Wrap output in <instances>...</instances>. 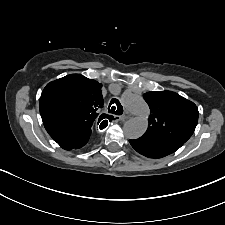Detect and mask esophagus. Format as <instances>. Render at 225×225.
<instances>
[{
    "instance_id": "obj_1",
    "label": "esophagus",
    "mask_w": 225,
    "mask_h": 225,
    "mask_svg": "<svg viewBox=\"0 0 225 225\" xmlns=\"http://www.w3.org/2000/svg\"><path fill=\"white\" fill-rule=\"evenodd\" d=\"M126 119H128V116H126V115L121 116V117H117V116L114 117V121H119V120L124 121Z\"/></svg>"
}]
</instances>
